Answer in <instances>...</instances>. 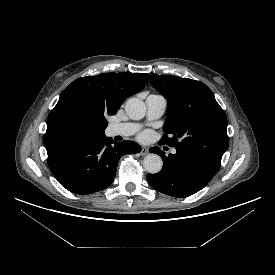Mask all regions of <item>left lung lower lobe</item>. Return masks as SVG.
I'll use <instances>...</instances> for the list:
<instances>
[{
    "instance_id": "left-lung-lower-lobe-1",
    "label": "left lung lower lobe",
    "mask_w": 275,
    "mask_h": 275,
    "mask_svg": "<svg viewBox=\"0 0 275 275\" xmlns=\"http://www.w3.org/2000/svg\"><path fill=\"white\" fill-rule=\"evenodd\" d=\"M150 152L161 156L163 168L159 173L148 174V183L157 191L172 197H188L204 188L219 170V165L196 154L177 150L165 153L158 147Z\"/></svg>"
}]
</instances>
